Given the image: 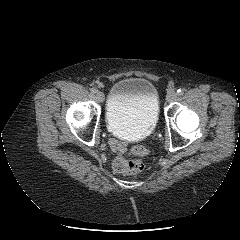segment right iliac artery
<instances>
[{
    "label": "right iliac artery",
    "mask_w": 240,
    "mask_h": 240,
    "mask_svg": "<svg viewBox=\"0 0 240 240\" xmlns=\"http://www.w3.org/2000/svg\"><path fill=\"white\" fill-rule=\"evenodd\" d=\"M90 90L93 94L97 92V89L95 87H92Z\"/></svg>",
    "instance_id": "right-iliac-artery-1"
}]
</instances>
